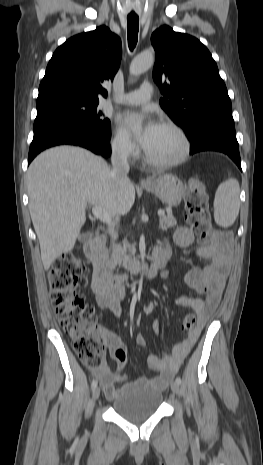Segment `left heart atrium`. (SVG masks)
Masks as SVG:
<instances>
[{"label":"left heart atrium","mask_w":263,"mask_h":465,"mask_svg":"<svg viewBox=\"0 0 263 465\" xmlns=\"http://www.w3.org/2000/svg\"><path fill=\"white\" fill-rule=\"evenodd\" d=\"M146 116V122L143 129L136 134V138L139 143L142 145L143 148L147 149L148 146L151 144L153 138L155 137L160 125L152 119L150 116ZM141 115L138 113H127L124 115L122 119V123L127 130H132L138 120L140 119Z\"/></svg>","instance_id":"left-heart-atrium-1"}]
</instances>
